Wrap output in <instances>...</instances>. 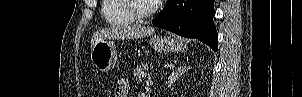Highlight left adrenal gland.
<instances>
[{
  "instance_id": "1",
  "label": "left adrenal gland",
  "mask_w": 302,
  "mask_h": 97,
  "mask_svg": "<svg viewBox=\"0 0 302 97\" xmlns=\"http://www.w3.org/2000/svg\"><path fill=\"white\" fill-rule=\"evenodd\" d=\"M189 67H178L177 69H173L172 73L169 75L168 80L166 81L167 87L171 86L179 77L184 75L186 71H188Z\"/></svg>"
}]
</instances>
